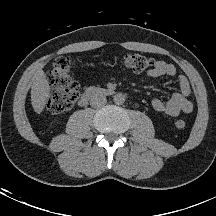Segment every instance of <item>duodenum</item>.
<instances>
[{"mask_svg": "<svg viewBox=\"0 0 216 216\" xmlns=\"http://www.w3.org/2000/svg\"><path fill=\"white\" fill-rule=\"evenodd\" d=\"M112 94H113V90L108 88H88L81 96L79 100V105L85 106L90 101V99H92L95 96H99V95L108 96Z\"/></svg>", "mask_w": 216, "mask_h": 216, "instance_id": "410a0bca", "label": "duodenum"}]
</instances>
